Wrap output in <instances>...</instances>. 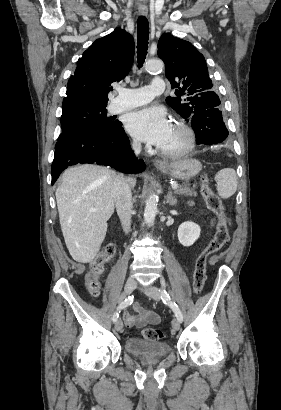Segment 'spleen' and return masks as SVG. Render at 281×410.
Masks as SVG:
<instances>
[{
	"label": "spleen",
	"instance_id": "spleen-1",
	"mask_svg": "<svg viewBox=\"0 0 281 410\" xmlns=\"http://www.w3.org/2000/svg\"><path fill=\"white\" fill-rule=\"evenodd\" d=\"M216 188L218 195L227 199L230 198L237 190V178L235 170L224 168L215 175Z\"/></svg>",
	"mask_w": 281,
	"mask_h": 410
}]
</instances>
